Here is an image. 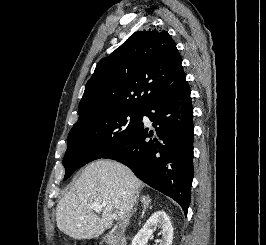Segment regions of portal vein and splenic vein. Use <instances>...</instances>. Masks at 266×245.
<instances>
[{
  "instance_id": "18ae733b",
  "label": "portal vein and splenic vein",
  "mask_w": 266,
  "mask_h": 245,
  "mask_svg": "<svg viewBox=\"0 0 266 245\" xmlns=\"http://www.w3.org/2000/svg\"><path fill=\"white\" fill-rule=\"evenodd\" d=\"M93 211H102V205H99V203H93L92 205ZM113 219H118V215H112Z\"/></svg>"
}]
</instances>
